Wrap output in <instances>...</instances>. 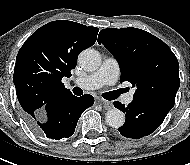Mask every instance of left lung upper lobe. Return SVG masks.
I'll return each mask as SVG.
<instances>
[{
  "label": "left lung upper lobe",
  "mask_w": 190,
  "mask_h": 165,
  "mask_svg": "<svg viewBox=\"0 0 190 165\" xmlns=\"http://www.w3.org/2000/svg\"><path fill=\"white\" fill-rule=\"evenodd\" d=\"M98 43L118 61L120 82L136 87L134 101L174 106L180 87L179 64L162 40L137 28H108L100 31Z\"/></svg>",
  "instance_id": "left-lung-upper-lobe-1"
}]
</instances>
